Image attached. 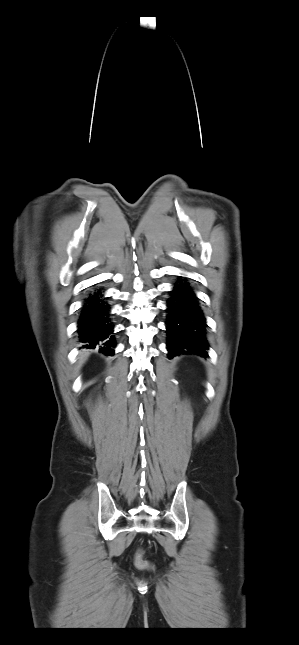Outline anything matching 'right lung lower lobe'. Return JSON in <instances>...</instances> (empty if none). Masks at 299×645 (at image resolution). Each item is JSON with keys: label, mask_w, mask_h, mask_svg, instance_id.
<instances>
[{"label": "right lung lower lobe", "mask_w": 299, "mask_h": 645, "mask_svg": "<svg viewBox=\"0 0 299 645\" xmlns=\"http://www.w3.org/2000/svg\"><path fill=\"white\" fill-rule=\"evenodd\" d=\"M110 306L101 291L90 294L85 300L78 321V333L83 348L99 346L107 356L114 354V325L111 321Z\"/></svg>", "instance_id": "98d812e1"}]
</instances>
